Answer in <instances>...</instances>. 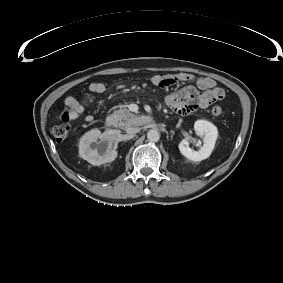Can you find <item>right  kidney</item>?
Returning a JSON list of instances; mask_svg holds the SVG:
<instances>
[{"label":"right kidney","instance_id":"obj_1","mask_svg":"<svg viewBox=\"0 0 283 283\" xmlns=\"http://www.w3.org/2000/svg\"><path fill=\"white\" fill-rule=\"evenodd\" d=\"M112 130L101 133L99 129L86 132L79 142V155L94 166H99L116 159L118 153L113 148Z\"/></svg>","mask_w":283,"mask_h":283}]
</instances>
